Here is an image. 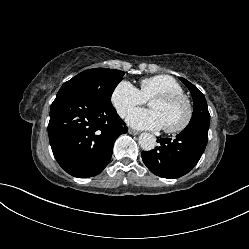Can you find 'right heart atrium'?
<instances>
[{
  "label": "right heart atrium",
  "mask_w": 249,
  "mask_h": 249,
  "mask_svg": "<svg viewBox=\"0 0 249 249\" xmlns=\"http://www.w3.org/2000/svg\"><path fill=\"white\" fill-rule=\"evenodd\" d=\"M111 103L120 117H125L132 108L144 103L139 90L128 81H120L111 93Z\"/></svg>",
  "instance_id": "obj_1"
}]
</instances>
